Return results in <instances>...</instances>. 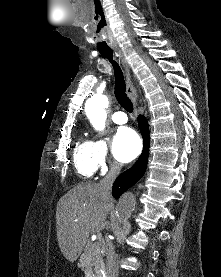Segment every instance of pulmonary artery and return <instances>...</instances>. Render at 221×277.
I'll return each instance as SVG.
<instances>
[{"mask_svg": "<svg viewBox=\"0 0 221 277\" xmlns=\"http://www.w3.org/2000/svg\"><path fill=\"white\" fill-rule=\"evenodd\" d=\"M112 120L116 124H125L127 122V116L123 111H116L112 114Z\"/></svg>", "mask_w": 221, "mask_h": 277, "instance_id": "obj_1", "label": "pulmonary artery"}]
</instances>
